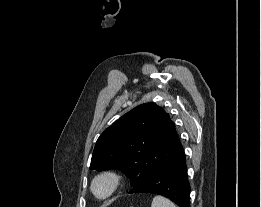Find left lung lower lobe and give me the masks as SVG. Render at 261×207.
<instances>
[{
  "label": "left lung lower lobe",
  "instance_id": "1",
  "mask_svg": "<svg viewBox=\"0 0 261 207\" xmlns=\"http://www.w3.org/2000/svg\"><path fill=\"white\" fill-rule=\"evenodd\" d=\"M129 193L162 195L179 207H190V184L184 149L173 160L137 183Z\"/></svg>",
  "mask_w": 261,
  "mask_h": 207
}]
</instances>
